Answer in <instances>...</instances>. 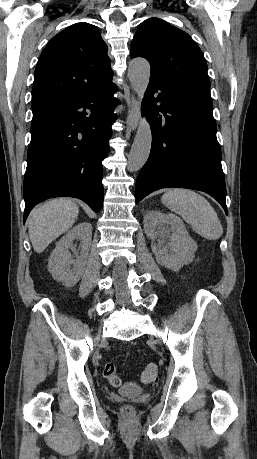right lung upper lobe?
<instances>
[{"label": "right lung upper lobe", "instance_id": "obj_1", "mask_svg": "<svg viewBox=\"0 0 257 459\" xmlns=\"http://www.w3.org/2000/svg\"><path fill=\"white\" fill-rule=\"evenodd\" d=\"M108 47L99 30L76 23L54 36L35 69L32 110L99 90L111 82Z\"/></svg>", "mask_w": 257, "mask_h": 459}]
</instances>
